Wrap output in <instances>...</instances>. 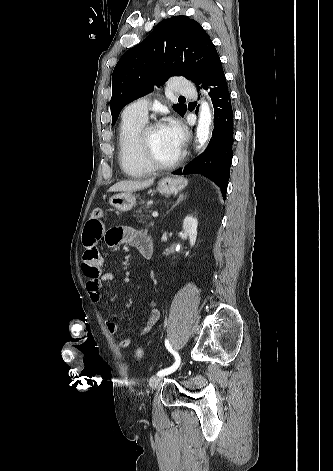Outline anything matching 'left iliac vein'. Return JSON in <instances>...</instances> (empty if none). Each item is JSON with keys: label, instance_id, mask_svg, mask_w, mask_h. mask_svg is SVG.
Listing matches in <instances>:
<instances>
[{"label": "left iliac vein", "instance_id": "4c4485c4", "mask_svg": "<svg viewBox=\"0 0 333 471\" xmlns=\"http://www.w3.org/2000/svg\"><path fill=\"white\" fill-rule=\"evenodd\" d=\"M164 376L165 375L156 376L151 380L150 387H151L152 390L156 389L159 386V384L161 383Z\"/></svg>", "mask_w": 333, "mask_h": 471}]
</instances>
